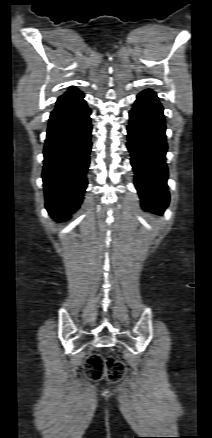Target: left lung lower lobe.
Instances as JSON below:
<instances>
[{
  "instance_id": "0a47b994",
  "label": "left lung lower lobe",
  "mask_w": 212,
  "mask_h": 438,
  "mask_svg": "<svg viewBox=\"0 0 212 438\" xmlns=\"http://www.w3.org/2000/svg\"><path fill=\"white\" fill-rule=\"evenodd\" d=\"M127 148L142 207L163 213L169 203L167 143L163 108L156 93L144 90L129 113Z\"/></svg>"
}]
</instances>
